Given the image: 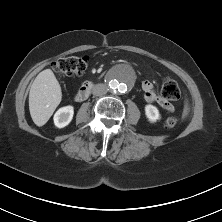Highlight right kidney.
<instances>
[{
  "instance_id": "ca27d5eb",
  "label": "right kidney",
  "mask_w": 222,
  "mask_h": 222,
  "mask_svg": "<svg viewBox=\"0 0 222 222\" xmlns=\"http://www.w3.org/2000/svg\"><path fill=\"white\" fill-rule=\"evenodd\" d=\"M74 114V108L71 105L60 108L54 115V124L57 128H64L67 126Z\"/></svg>"
}]
</instances>
